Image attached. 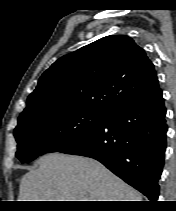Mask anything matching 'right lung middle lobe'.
<instances>
[{
	"instance_id": "dd1d6c3e",
	"label": "right lung middle lobe",
	"mask_w": 176,
	"mask_h": 211,
	"mask_svg": "<svg viewBox=\"0 0 176 211\" xmlns=\"http://www.w3.org/2000/svg\"><path fill=\"white\" fill-rule=\"evenodd\" d=\"M106 117V113L80 108L47 109L21 117L14 131L16 157L30 162L42 154L59 151L99 126Z\"/></svg>"
}]
</instances>
